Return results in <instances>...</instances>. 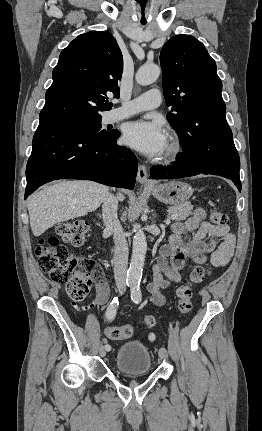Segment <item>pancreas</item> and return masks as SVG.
Listing matches in <instances>:
<instances>
[{
	"mask_svg": "<svg viewBox=\"0 0 262 431\" xmlns=\"http://www.w3.org/2000/svg\"><path fill=\"white\" fill-rule=\"evenodd\" d=\"M191 207L187 205L169 207V214H177V221L184 220L189 216Z\"/></svg>",
	"mask_w": 262,
	"mask_h": 431,
	"instance_id": "1",
	"label": "pancreas"
}]
</instances>
